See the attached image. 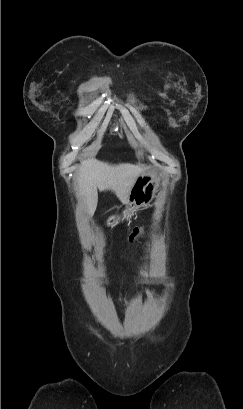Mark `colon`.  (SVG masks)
Wrapping results in <instances>:
<instances>
[{
	"label": "colon",
	"instance_id": "5ec220e1",
	"mask_svg": "<svg viewBox=\"0 0 243 409\" xmlns=\"http://www.w3.org/2000/svg\"><path fill=\"white\" fill-rule=\"evenodd\" d=\"M143 230H144V226L135 227L129 236V242L131 243L135 242L138 239V237L141 235Z\"/></svg>",
	"mask_w": 243,
	"mask_h": 409
}]
</instances>
